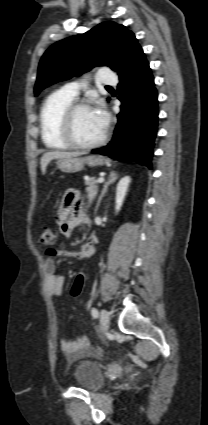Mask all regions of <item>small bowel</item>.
<instances>
[{
    "label": "small bowel",
    "instance_id": "obj_1",
    "mask_svg": "<svg viewBox=\"0 0 208 425\" xmlns=\"http://www.w3.org/2000/svg\"><path fill=\"white\" fill-rule=\"evenodd\" d=\"M89 222L88 216L83 209V203L80 199L79 192L75 189H70L64 195L58 214L57 224L63 235L69 237L72 230L80 225ZM96 236L92 235L86 243L76 251L71 250H48V258L45 261L46 272V288L51 296H60L63 293L64 278L56 274L57 264L53 259L54 256L75 258L78 260L89 258L95 251ZM90 345L89 339L86 336L76 340L62 339L60 341L61 350L70 358L76 359L83 355Z\"/></svg>",
    "mask_w": 208,
    "mask_h": 425
}]
</instances>
